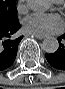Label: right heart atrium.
I'll return each instance as SVG.
<instances>
[{"label":"right heart atrium","mask_w":65,"mask_h":89,"mask_svg":"<svg viewBox=\"0 0 65 89\" xmlns=\"http://www.w3.org/2000/svg\"><path fill=\"white\" fill-rule=\"evenodd\" d=\"M29 8L28 2L21 0L17 5V9L21 13H25Z\"/></svg>","instance_id":"1"}]
</instances>
